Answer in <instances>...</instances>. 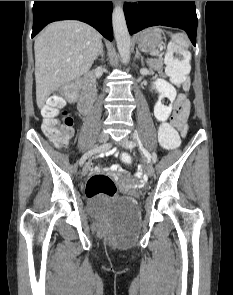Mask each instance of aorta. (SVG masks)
I'll list each match as a JSON object with an SVG mask.
<instances>
[{
  "instance_id": "762f6f07",
  "label": "aorta",
  "mask_w": 233,
  "mask_h": 295,
  "mask_svg": "<svg viewBox=\"0 0 233 295\" xmlns=\"http://www.w3.org/2000/svg\"><path fill=\"white\" fill-rule=\"evenodd\" d=\"M112 24L121 59L123 63H128L130 59L131 40L122 7L116 6L114 8Z\"/></svg>"
}]
</instances>
